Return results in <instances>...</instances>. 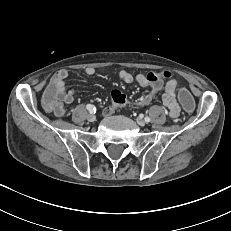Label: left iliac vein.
Here are the masks:
<instances>
[{
  "label": "left iliac vein",
  "instance_id": "left-iliac-vein-1",
  "mask_svg": "<svg viewBox=\"0 0 231 231\" xmlns=\"http://www.w3.org/2000/svg\"><path fill=\"white\" fill-rule=\"evenodd\" d=\"M136 121H137V123L140 125V126H145V120L143 119V118H141V117H138L137 119H136Z\"/></svg>",
  "mask_w": 231,
  "mask_h": 231
}]
</instances>
